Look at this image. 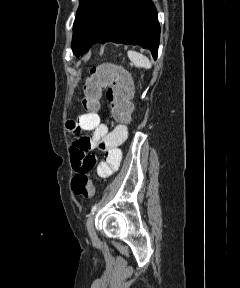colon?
Masks as SVG:
<instances>
[{
    "mask_svg": "<svg viewBox=\"0 0 240 288\" xmlns=\"http://www.w3.org/2000/svg\"><path fill=\"white\" fill-rule=\"evenodd\" d=\"M111 103V113L115 120L126 122L133 110V86L127 70L113 64H101L90 70L82 88L81 103L85 110L95 113L99 110L102 91ZM74 194L84 200L90 199L95 186L87 174H77L72 179Z\"/></svg>",
    "mask_w": 240,
    "mask_h": 288,
    "instance_id": "1",
    "label": "colon"
}]
</instances>
